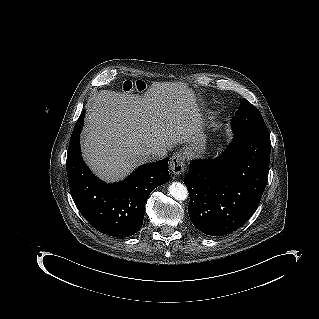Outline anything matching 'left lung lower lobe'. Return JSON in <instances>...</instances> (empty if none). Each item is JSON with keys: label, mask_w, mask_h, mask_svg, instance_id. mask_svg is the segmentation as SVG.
Segmentation results:
<instances>
[{"label": "left lung lower lobe", "mask_w": 319, "mask_h": 319, "mask_svg": "<svg viewBox=\"0 0 319 319\" xmlns=\"http://www.w3.org/2000/svg\"><path fill=\"white\" fill-rule=\"evenodd\" d=\"M270 151L269 136L235 134L222 156L190 163L184 183L188 213L198 230L227 235L252 216L267 184Z\"/></svg>", "instance_id": "1"}]
</instances>
